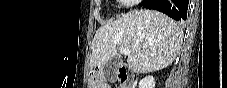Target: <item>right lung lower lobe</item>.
<instances>
[{
    "mask_svg": "<svg viewBox=\"0 0 227 88\" xmlns=\"http://www.w3.org/2000/svg\"><path fill=\"white\" fill-rule=\"evenodd\" d=\"M188 3V0H143L142 5L163 12L175 20L185 21Z\"/></svg>",
    "mask_w": 227,
    "mask_h": 88,
    "instance_id": "1",
    "label": "right lung lower lobe"
}]
</instances>
